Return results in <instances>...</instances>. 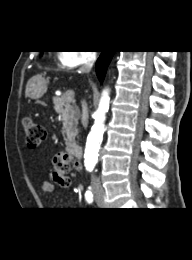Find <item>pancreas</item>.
Instances as JSON below:
<instances>
[{
    "mask_svg": "<svg viewBox=\"0 0 192 260\" xmlns=\"http://www.w3.org/2000/svg\"><path fill=\"white\" fill-rule=\"evenodd\" d=\"M54 109L59 115L63 127L65 143L69 144L77 134V125L80 117L79 110L76 106L70 105L64 97H54Z\"/></svg>",
    "mask_w": 192,
    "mask_h": 260,
    "instance_id": "1",
    "label": "pancreas"
}]
</instances>
